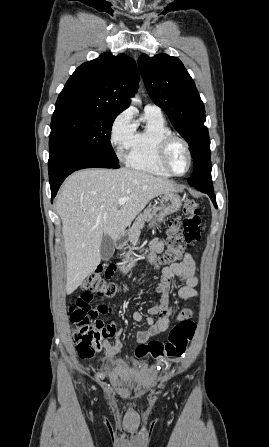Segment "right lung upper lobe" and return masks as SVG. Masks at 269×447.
I'll return each mask as SVG.
<instances>
[{
  "label": "right lung upper lobe",
  "instance_id": "right-lung-upper-lobe-1",
  "mask_svg": "<svg viewBox=\"0 0 269 447\" xmlns=\"http://www.w3.org/2000/svg\"><path fill=\"white\" fill-rule=\"evenodd\" d=\"M139 72L135 61L124 53L83 63L70 76L58 96L54 114H119L130 105L138 87Z\"/></svg>",
  "mask_w": 269,
  "mask_h": 447
}]
</instances>
